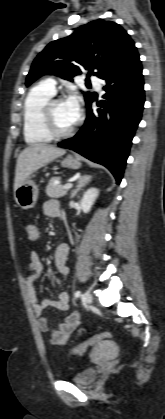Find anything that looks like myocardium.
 I'll return each mask as SVG.
<instances>
[{
  "mask_svg": "<svg viewBox=\"0 0 165 419\" xmlns=\"http://www.w3.org/2000/svg\"><path fill=\"white\" fill-rule=\"evenodd\" d=\"M59 101H63V99L61 97H52L44 104L42 109V119L44 127L47 133L55 139L67 138L71 136L72 134H74L78 126V123L76 122L68 130L61 131L57 128L54 118V105Z\"/></svg>",
  "mask_w": 165,
  "mask_h": 419,
  "instance_id": "myocardium-1",
  "label": "myocardium"
}]
</instances>
